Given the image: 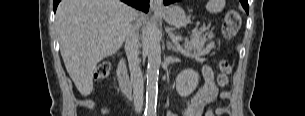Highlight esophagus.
<instances>
[{"mask_svg": "<svg viewBox=\"0 0 305 116\" xmlns=\"http://www.w3.org/2000/svg\"><path fill=\"white\" fill-rule=\"evenodd\" d=\"M150 8L152 10H161L162 9V1L161 0H150Z\"/></svg>", "mask_w": 305, "mask_h": 116, "instance_id": "obj_1", "label": "esophagus"}]
</instances>
